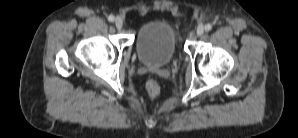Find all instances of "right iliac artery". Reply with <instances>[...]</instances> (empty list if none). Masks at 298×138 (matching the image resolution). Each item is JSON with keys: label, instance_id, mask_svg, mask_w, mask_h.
<instances>
[{"label": "right iliac artery", "instance_id": "right-iliac-artery-1", "mask_svg": "<svg viewBox=\"0 0 298 138\" xmlns=\"http://www.w3.org/2000/svg\"><path fill=\"white\" fill-rule=\"evenodd\" d=\"M115 19V17L113 15H109L108 16V21L113 22Z\"/></svg>", "mask_w": 298, "mask_h": 138}]
</instances>
